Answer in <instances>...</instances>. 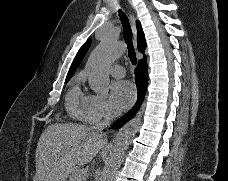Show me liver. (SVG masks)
Masks as SVG:
<instances>
[{
    "label": "liver",
    "instance_id": "liver-1",
    "mask_svg": "<svg viewBox=\"0 0 228 181\" xmlns=\"http://www.w3.org/2000/svg\"><path fill=\"white\" fill-rule=\"evenodd\" d=\"M107 141L87 125H49L36 149L33 181H66L76 165H87Z\"/></svg>",
    "mask_w": 228,
    "mask_h": 181
}]
</instances>
